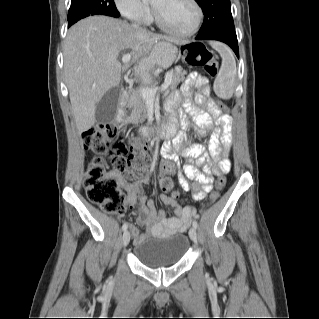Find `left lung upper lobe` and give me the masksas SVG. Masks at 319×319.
I'll return each instance as SVG.
<instances>
[{
  "label": "left lung upper lobe",
  "instance_id": "5c2ea615",
  "mask_svg": "<svg viewBox=\"0 0 319 319\" xmlns=\"http://www.w3.org/2000/svg\"><path fill=\"white\" fill-rule=\"evenodd\" d=\"M203 10L204 22L198 39L218 36L237 38L230 0H195Z\"/></svg>",
  "mask_w": 319,
  "mask_h": 319
}]
</instances>
